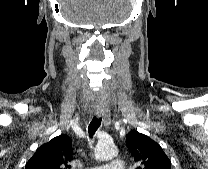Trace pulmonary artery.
<instances>
[{"mask_svg": "<svg viewBox=\"0 0 208 169\" xmlns=\"http://www.w3.org/2000/svg\"><path fill=\"white\" fill-rule=\"evenodd\" d=\"M88 169H126V166L123 159L113 158L102 165L90 167Z\"/></svg>", "mask_w": 208, "mask_h": 169, "instance_id": "1", "label": "pulmonary artery"}]
</instances>
